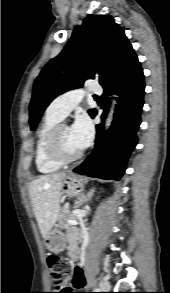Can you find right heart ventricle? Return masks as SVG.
I'll use <instances>...</instances> for the list:
<instances>
[{
	"instance_id": "right-heart-ventricle-1",
	"label": "right heart ventricle",
	"mask_w": 170,
	"mask_h": 293,
	"mask_svg": "<svg viewBox=\"0 0 170 293\" xmlns=\"http://www.w3.org/2000/svg\"><path fill=\"white\" fill-rule=\"evenodd\" d=\"M61 119L48 113L45 114L36 137L35 143V164L39 172L47 174L58 171L62 164L52 161L47 154V141L52 129Z\"/></svg>"
}]
</instances>
